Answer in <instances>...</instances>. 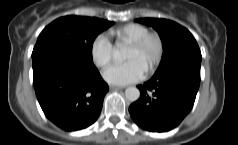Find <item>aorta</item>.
Here are the masks:
<instances>
[{
    "label": "aorta",
    "instance_id": "obj_1",
    "mask_svg": "<svg viewBox=\"0 0 238 145\" xmlns=\"http://www.w3.org/2000/svg\"><path fill=\"white\" fill-rule=\"evenodd\" d=\"M114 56L118 59H125L127 57V48L118 44L115 48ZM125 97L131 102L137 101L140 97V91L136 87H128L125 90Z\"/></svg>",
    "mask_w": 238,
    "mask_h": 145
}]
</instances>
